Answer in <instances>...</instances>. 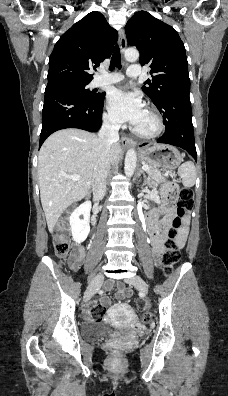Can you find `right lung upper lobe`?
I'll use <instances>...</instances> for the list:
<instances>
[{
    "mask_svg": "<svg viewBox=\"0 0 228 396\" xmlns=\"http://www.w3.org/2000/svg\"><path fill=\"white\" fill-rule=\"evenodd\" d=\"M118 33L97 11L75 23L57 41L49 58L46 88L65 82H90L89 70L112 54Z\"/></svg>",
    "mask_w": 228,
    "mask_h": 396,
    "instance_id": "1",
    "label": "right lung upper lobe"
}]
</instances>
